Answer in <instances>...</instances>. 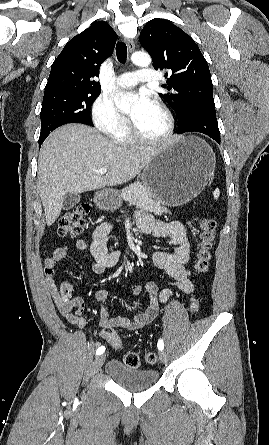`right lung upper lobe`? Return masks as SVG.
Here are the masks:
<instances>
[{
  "mask_svg": "<svg viewBox=\"0 0 269 445\" xmlns=\"http://www.w3.org/2000/svg\"><path fill=\"white\" fill-rule=\"evenodd\" d=\"M117 34L105 21L92 24L73 37L52 64L44 92L57 90L101 91L100 64L113 52Z\"/></svg>",
  "mask_w": 269,
  "mask_h": 445,
  "instance_id": "cb5924a9",
  "label": "right lung upper lobe"
}]
</instances>
